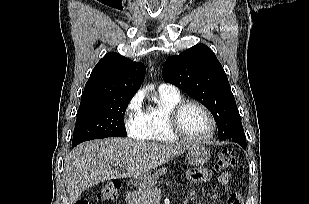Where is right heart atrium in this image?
I'll list each match as a JSON object with an SVG mask.
<instances>
[{"label": "right heart atrium", "instance_id": "obj_1", "mask_svg": "<svg viewBox=\"0 0 309 204\" xmlns=\"http://www.w3.org/2000/svg\"><path fill=\"white\" fill-rule=\"evenodd\" d=\"M125 127L128 134L134 138H142L144 134L143 111L140 96L135 95L125 109Z\"/></svg>", "mask_w": 309, "mask_h": 204}]
</instances>
